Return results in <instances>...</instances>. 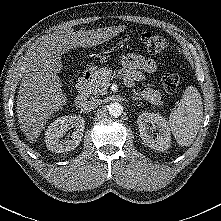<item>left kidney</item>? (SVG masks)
<instances>
[{"label":"left kidney","mask_w":221,"mask_h":221,"mask_svg":"<svg viewBox=\"0 0 221 221\" xmlns=\"http://www.w3.org/2000/svg\"><path fill=\"white\" fill-rule=\"evenodd\" d=\"M158 130L156 137L149 134V124ZM140 136L148 147L165 151L169 149L171 137L166 119L158 113H143L137 119Z\"/></svg>","instance_id":"5707ae66"}]
</instances>
